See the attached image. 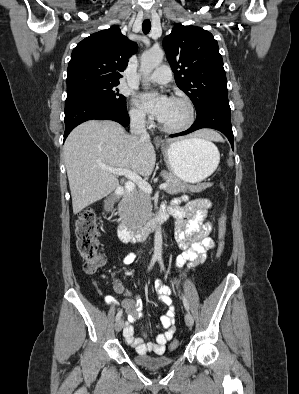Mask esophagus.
I'll use <instances>...</instances> for the list:
<instances>
[{"label": "esophagus", "instance_id": "obj_1", "mask_svg": "<svg viewBox=\"0 0 299 394\" xmlns=\"http://www.w3.org/2000/svg\"><path fill=\"white\" fill-rule=\"evenodd\" d=\"M144 17H145V19H149L151 17V15H150V13L147 12L144 14ZM155 141L157 143H160V139L158 137H155Z\"/></svg>", "mask_w": 299, "mask_h": 394}]
</instances>
